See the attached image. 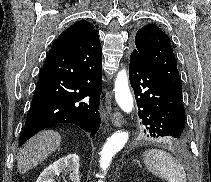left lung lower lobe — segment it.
<instances>
[{"label": "left lung lower lobe", "instance_id": "1", "mask_svg": "<svg viewBox=\"0 0 211 182\" xmlns=\"http://www.w3.org/2000/svg\"><path fill=\"white\" fill-rule=\"evenodd\" d=\"M129 79L134 90L139 117L152 138L177 141L185 133V110L182 94L173 90L152 67L133 51Z\"/></svg>", "mask_w": 211, "mask_h": 182}]
</instances>
